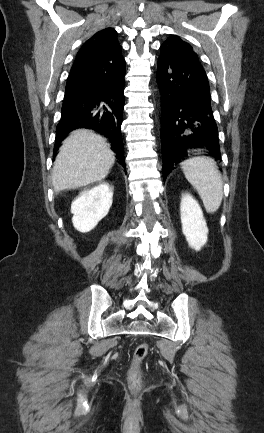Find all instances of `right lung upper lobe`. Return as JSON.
<instances>
[{
	"label": "right lung upper lobe",
	"instance_id": "right-lung-upper-lobe-1",
	"mask_svg": "<svg viewBox=\"0 0 264 433\" xmlns=\"http://www.w3.org/2000/svg\"><path fill=\"white\" fill-rule=\"evenodd\" d=\"M87 59H104L109 62H118L124 59L115 29H103L84 43L77 53L75 61Z\"/></svg>",
	"mask_w": 264,
	"mask_h": 433
}]
</instances>
